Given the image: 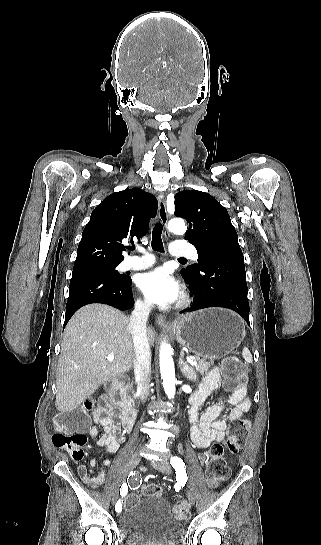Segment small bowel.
Instances as JSON below:
<instances>
[{"label": "small bowel", "instance_id": "c3829d8e", "mask_svg": "<svg viewBox=\"0 0 321 545\" xmlns=\"http://www.w3.org/2000/svg\"><path fill=\"white\" fill-rule=\"evenodd\" d=\"M221 383V374L218 368H213L202 380L198 389L191 397V407L189 411L190 418V437L196 447L200 449L208 448L213 442L222 441L224 431L228 422L240 419L251 407V401L246 391L231 392L228 401H220L209 406L206 411L199 416L198 410L206 398L215 391ZM232 409L226 412L227 406ZM117 411L108 401H103L93 413V422L98 425L103 433L98 437L96 443L103 447L107 453H116L124 440L123 431L120 425L115 421ZM88 435L91 438L98 436V428L92 426L88 429ZM200 460H206V454L200 455ZM91 466L96 467L99 464L97 459L90 461ZM110 460L104 459L102 465L104 469L98 476L94 477L98 485L104 480L107 469L110 467ZM85 466H80V468Z\"/></svg>", "mask_w": 321, "mask_h": 545}]
</instances>
